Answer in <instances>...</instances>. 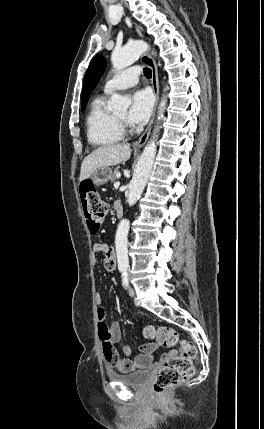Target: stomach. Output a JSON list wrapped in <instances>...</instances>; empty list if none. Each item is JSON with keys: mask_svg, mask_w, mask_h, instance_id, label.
<instances>
[{"mask_svg": "<svg viewBox=\"0 0 264 429\" xmlns=\"http://www.w3.org/2000/svg\"><path fill=\"white\" fill-rule=\"evenodd\" d=\"M112 176V170L110 167L98 168L92 175L91 180L96 185L105 184Z\"/></svg>", "mask_w": 264, "mask_h": 429, "instance_id": "1", "label": "stomach"}]
</instances>
